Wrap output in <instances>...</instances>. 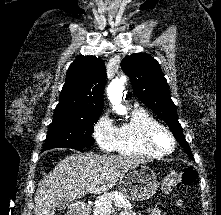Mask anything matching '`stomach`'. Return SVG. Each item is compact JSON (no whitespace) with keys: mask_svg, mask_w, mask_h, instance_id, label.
<instances>
[{"mask_svg":"<svg viewBox=\"0 0 221 215\" xmlns=\"http://www.w3.org/2000/svg\"><path fill=\"white\" fill-rule=\"evenodd\" d=\"M158 187L155 172L144 164H140L123 174L119 180V191L127 199L144 201L151 198Z\"/></svg>","mask_w":221,"mask_h":215,"instance_id":"obj_1","label":"stomach"}]
</instances>
